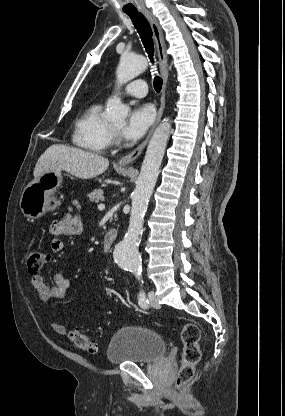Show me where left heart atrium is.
<instances>
[{
	"label": "left heart atrium",
	"mask_w": 285,
	"mask_h": 416,
	"mask_svg": "<svg viewBox=\"0 0 285 416\" xmlns=\"http://www.w3.org/2000/svg\"><path fill=\"white\" fill-rule=\"evenodd\" d=\"M154 112L149 105L135 106L121 128V135L127 141L140 139L153 122Z\"/></svg>",
	"instance_id": "39dd6f15"
}]
</instances>
